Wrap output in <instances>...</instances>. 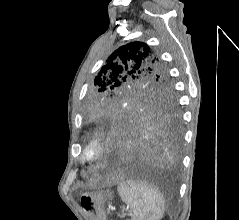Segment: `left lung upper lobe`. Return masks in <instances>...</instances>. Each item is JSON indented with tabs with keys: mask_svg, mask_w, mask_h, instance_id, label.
<instances>
[{
	"mask_svg": "<svg viewBox=\"0 0 239 220\" xmlns=\"http://www.w3.org/2000/svg\"><path fill=\"white\" fill-rule=\"evenodd\" d=\"M94 85L84 106V117L92 123L110 108L178 112L166 65L142 42H131L112 53Z\"/></svg>",
	"mask_w": 239,
	"mask_h": 220,
	"instance_id": "obj_1",
	"label": "left lung upper lobe"
}]
</instances>
